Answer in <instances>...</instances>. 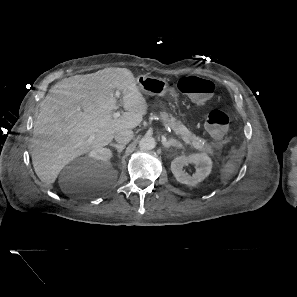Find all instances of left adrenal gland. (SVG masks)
<instances>
[{"label": "left adrenal gland", "instance_id": "1", "mask_svg": "<svg viewBox=\"0 0 297 297\" xmlns=\"http://www.w3.org/2000/svg\"><path fill=\"white\" fill-rule=\"evenodd\" d=\"M162 144L165 148H169L171 146H175V147H178V148H181L182 147V144L178 141H176L175 139H169V140H162Z\"/></svg>", "mask_w": 297, "mask_h": 297}]
</instances>
